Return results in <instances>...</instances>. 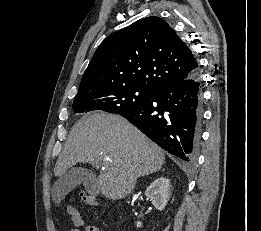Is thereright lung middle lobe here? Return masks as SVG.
Segmentation results:
<instances>
[{"label":"right lung middle lobe","mask_w":261,"mask_h":231,"mask_svg":"<svg viewBox=\"0 0 261 231\" xmlns=\"http://www.w3.org/2000/svg\"><path fill=\"white\" fill-rule=\"evenodd\" d=\"M152 95L150 90L136 86L101 90L76 96L73 110L75 113L103 110L121 115L144 106L152 99Z\"/></svg>","instance_id":"obj_1"}]
</instances>
